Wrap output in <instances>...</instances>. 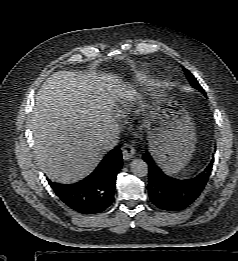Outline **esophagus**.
Returning <instances> with one entry per match:
<instances>
[{
	"instance_id": "esophagus-1",
	"label": "esophagus",
	"mask_w": 238,
	"mask_h": 261,
	"mask_svg": "<svg viewBox=\"0 0 238 261\" xmlns=\"http://www.w3.org/2000/svg\"><path fill=\"white\" fill-rule=\"evenodd\" d=\"M122 155L124 160H130L134 157L135 149L129 144H124L121 147Z\"/></svg>"
}]
</instances>
